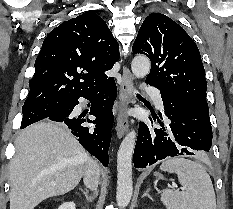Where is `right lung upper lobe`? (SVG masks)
Masks as SVG:
<instances>
[{"label": "right lung upper lobe", "instance_id": "obj_1", "mask_svg": "<svg viewBox=\"0 0 233 209\" xmlns=\"http://www.w3.org/2000/svg\"><path fill=\"white\" fill-rule=\"evenodd\" d=\"M119 45L104 20L85 12L63 22L43 42L25 103L72 100L110 78Z\"/></svg>", "mask_w": 233, "mask_h": 209}]
</instances>
